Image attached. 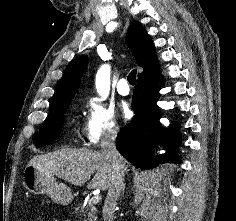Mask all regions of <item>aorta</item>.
I'll list each match as a JSON object with an SVG mask.
<instances>
[{
	"instance_id": "762f6f07",
	"label": "aorta",
	"mask_w": 236,
	"mask_h": 221,
	"mask_svg": "<svg viewBox=\"0 0 236 221\" xmlns=\"http://www.w3.org/2000/svg\"><path fill=\"white\" fill-rule=\"evenodd\" d=\"M110 90V67L108 65H104L102 68V77L100 81V94L106 98L108 92Z\"/></svg>"
}]
</instances>
